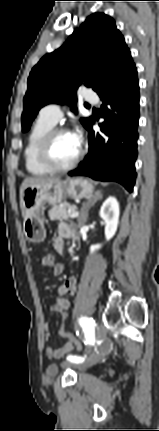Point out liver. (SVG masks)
Segmentation results:
<instances>
[{
	"label": "liver",
	"mask_w": 159,
	"mask_h": 431,
	"mask_svg": "<svg viewBox=\"0 0 159 431\" xmlns=\"http://www.w3.org/2000/svg\"><path fill=\"white\" fill-rule=\"evenodd\" d=\"M57 180H59V178H56V177H28L23 181V183L20 187V207L22 210L23 217L25 216V212H24V208H23L22 200H21L22 191L28 186L43 185V184H47V183L54 182Z\"/></svg>",
	"instance_id": "liver-1"
}]
</instances>
